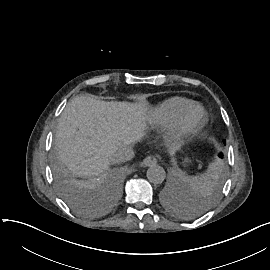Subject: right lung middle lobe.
<instances>
[{
    "label": "right lung middle lobe",
    "mask_w": 270,
    "mask_h": 270,
    "mask_svg": "<svg viewBox=\"0 0 270 270\" xmlns=\"http://www.w3.org/2000/svg\"><path fill=\"white\" fill-rule=\"evenodd\" d=\"M55 178L60 196L71 208L85 215L93 214V211L87 207L86 203L77 196L72 188L71 182L61 171L57 170L55 172Z\"/></svg>",
    "instance_id": "1"
}]
</instances>
